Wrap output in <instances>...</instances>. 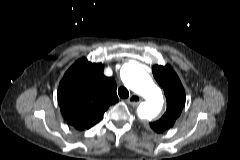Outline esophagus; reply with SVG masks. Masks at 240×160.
<instances>
[{"instance_id": "1", "label": "esophagus", "mask_w": 240, "mask_h": 160, "mask_svg": "<svg viewBox=\"0 0 240 160\" xmlns=\"http://www.w3.org/2000/svg\"><path fill=\"white\" fill-rule=\"evenodd\" d=\"M127 104L131 105V106H137L140 104L141 99L137 94H132L127 100H126Z\"/></svg>"}]
</instances>
